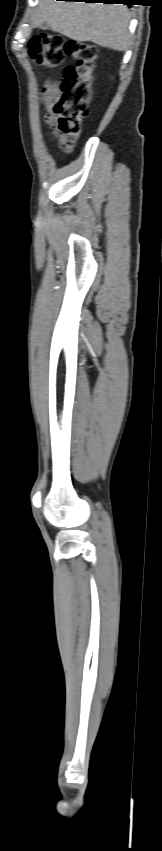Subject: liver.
Masks as SVG:
<instances>
[{"label": "liver", "instance_id": "1", "mask_svg": "<svg viewBox=\"0 0 162 851\" xmlns=\"http://www.w3.org/2000/svg\"><path fill=\"white\" fill-rule=\"evenodd\" d=\"M43 22L76 41H91L116 51L129 47L130 14L123 5L40 0L32 24L40 26Z\"/></svg>", "mask_w": 162, "mask_h": 851}]
</instances>
